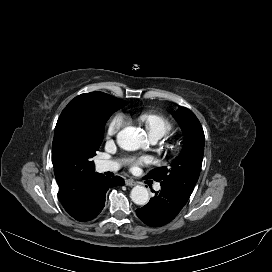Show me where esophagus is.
Masks as SVG:
<instances>
[{"instance_id":"esophagus-1","label":"esophagus","mask_w":272,"mask_h":272,"mask_svg":"<svg viewBox=\"0 0 272 272\" xmlns=\"http://www.w3.org/2000/svg\"><path fill=\"white\" fill-rule=\"evenodd\" d=\"M125 185L126 186H135L136 182L134 180L127 179V180H125Z\"/></svg>"}]
</instances>
